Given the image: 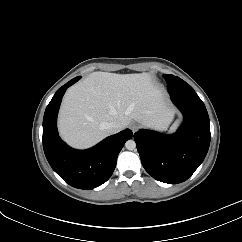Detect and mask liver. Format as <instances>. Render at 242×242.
Instances as JSON below:
<instances>
[{"instance_id": "liver-1", "label": "liver", "mask_w": 242, "mask_h": 242, "mask_svg": "<svg viewBox=\"0 0 242 242\" xmlns=\"http://www.w3.org/2000/svg\"><path fill=\"white\" fill-rule=\"evenodd\" d=\"M172 115L163 90L149 74L93 72L67 90L58 127L68 144L87 148L109 135L107 123L125 128L135 120L152 127L167 123Z\"/></svg>"}]
</instances>
